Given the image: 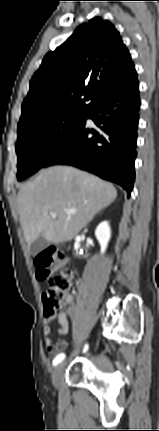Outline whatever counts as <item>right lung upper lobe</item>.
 I'll return each mask as SVG.
<instances>
[{"instance_id": "cb5924a9", "label": "right lung upper lobe", "mask_w": 159, "mask_h": 431, "mask_svg": "<svg viewBox=\"0 0 159 431\" xmlns=\"http://www.w3.org/2000/svg\"><path fill=\"white\" fill-rule=\"evenodd\" d=\"M135 78L119 32L109 21L93 18L46 54L30 81L18 130L61 112L88 113Z\"/></svg>"}]
</instances>
